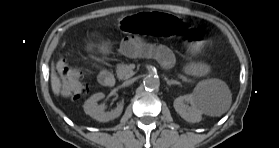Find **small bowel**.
Listing matches in <instances>:
<instances>
[{
	"instance_id": "1",
	"label": "small bowel",
	"mask_w": 279,
	"mask_h": 148,
	"mask_svg": "<svg viewBox=\"0 0 279 148\" xmlns=\"http://www.w3.org/2000/svg\"><path fill=\"white\" fill-rule=\"evenodd\" d=\"M121 52L130 58L153 57L164 67H170L174 61L172 53L165 46L136 36H127L123 39ZM208 70V66L201 63L191 64L187 67V71L193 75H203Z\"/></svg>"
}]
</instances>
